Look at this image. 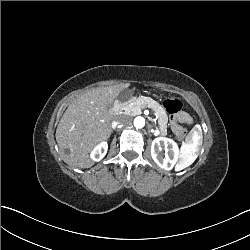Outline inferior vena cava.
Masks as SVG:
<instances>
[{"label":"inferior vena cava","instance_id":"602c4592","mask_svg":"<svg viewBox=\"0 0 250 250\" xmlns=\"http://www.w3.org/2000/svg\"><path fill=\"white\" fill-rule=\"evenodd\" d=\"M117 121L123 126L130 125L132 123V117L130 115H119L117 116Z\"/></svg>","mask_w":250,"mask_h":250}]
</instances>
